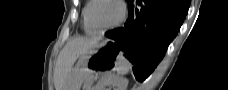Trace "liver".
Segmentation results:
<instances>
[{
  "mask_svg": "<svg viewBox=\"0 0 228 90\" xmlns=\"http://www.w3.org/2000/svg\"><path fill=\"white\" fill-rule=\"evenodd\" d=\"M101 39V37L84 38L78 36L66 43L58 55L55 66L54 85L56 90H64L76 60L90 48L96 46Z\"/></svg>",
  "mask_w": 228,
  "mask_h": 90,
  "instance_id": "obj_1",
  "label": "liver"
}]
</instances>
